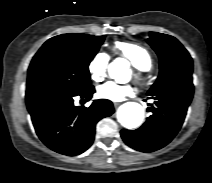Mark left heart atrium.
<instances>
[{
  "label": "left heart atrium",
  "instance_id": "obj_1",
  "mask_svg": "<svg viewBox=\"0 0 212 183\" xmlns=\"http://www.w3.org/2000/svg\"><path fill=\"white\" fill-rule=\"evenodd\" d=\"M134 92L135 89L131 85H119L112 81L100 85L97 89L100 98L110 101H121L133 95Z\"/></svg>",
  "mask_w": 212,
  "mask_h": 183
}]
</instances>
